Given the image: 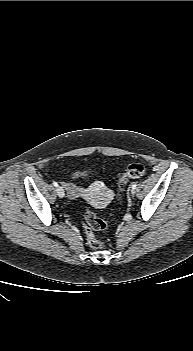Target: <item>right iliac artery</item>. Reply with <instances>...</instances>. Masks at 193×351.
Here are the masks:
<instances>
[{"label":"right iliac artery","instance_id":"obj_1","mask_svg":"<svg viewBox=\"0 0 193 351\" xmlns=\"http://www.w3.org/2000/svg\"><path fill=\"white\" fill-rule=\"evenodd\" d=\"M53 185L55 186V187H57L58 186V183L57 182H53Z\"/></svg>","mask_w":193,"mask_h":351}]
</instances>
